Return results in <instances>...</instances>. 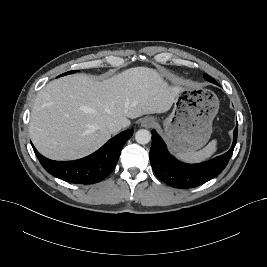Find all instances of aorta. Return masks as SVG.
<instances>
[{
  "label": "aorta",
  "mask_w": 267,
  "mask_h": 267,
  "mask_svg": "<svg viewBox=\"0 0 267 267\" xmlns=\"http://www.w3.org/2000/svg\"><path fill=\"white\" fill-rule=\"evenodd\" d=\"M135 140L139 144H147L151 140V133L146 129H140L135 134Z\"/></svg>",
  "instance_id": "1"
}]
</instances>
